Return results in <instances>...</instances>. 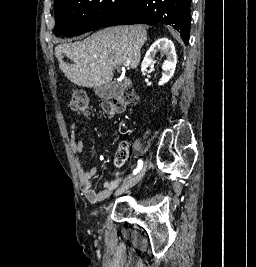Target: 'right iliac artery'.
Masks as SVG:
<instances>
[{
    "label": "right iliac artery",
    "mask_w": 256,
    "mask_h": 267,
    "mask_svg": "<svg viewBox=\"0 0 256 267\" xmlns=\"http://www.w3.org/2000/svg\"><path fill=\"white\" fill-rule=\"evenodd\" d=\"M143 167V161L142 160H138V166L137 168L133 171V174H137Z\"/></svg>",
    "instance_id": "1"
}]
</instances>
